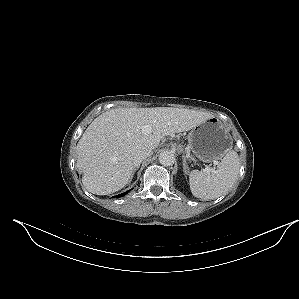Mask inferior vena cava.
<instances>
[{"instance_id": "obj_1", "label": "inferior vena cava", "mask_w": 299, "mask_h": 299, "mask_svg": "<svg viewBox=\"0 0 299 299\" xmlns=\"http://www.w3.org/2000/svg\"><path fill=\"white\" fill-rule=\"evenodd\" d=\"M152 153L153 152L151 149H144V150L137 151L133 157V165L137 167L138 165H140L143 159L150 157Z\"/></svg>"}]
</instances>
